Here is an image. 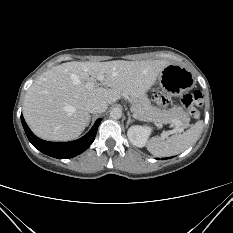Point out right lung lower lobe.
<instances>
[{
    "label": "right lung lower lobe",
    "instance_id": "98d812e1",
    "mask_svg": "<svg viewBox=\"0 0 233 233\" xmlns=\"http://www.w3.org/2000/svg\"><path fill=\"white\" fill-rule=\"evenodd\" d=\"M22 125L24 127L25 133L29 141L40 150L42 153L58 158V159H68L76 155L81 154L85 151L94 141L97 128L101 122V119H98L91 130L82 138L70 141V142H48L36 137L29 127L27 126L23 116L21 115Z\"/></svg>",
    "mask_w": 233,
    "mask_h": 233
}]
</instances>
